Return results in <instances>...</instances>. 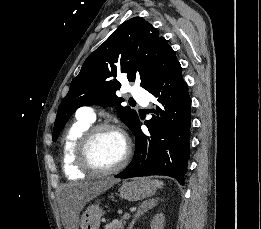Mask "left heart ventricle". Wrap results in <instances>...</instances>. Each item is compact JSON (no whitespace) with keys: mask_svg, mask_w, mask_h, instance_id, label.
Returning a JSON list of instances; mask_svg holds the SVG:
<instances>
[{"mask_svg":"<svg viewBox=\"0 0 261 229\" xmlns=\"http://www.w3.org/2000/svg\"><path fill=\"white\" fill-rule=\"evenodd\" d=\"M125 153V142L121 135L105 131L98 135L93 147L92 158L102 168H111L117 165Z\"/></svg>","mask_w":261,"mask_h":229,"instance_id":"left-heart-ventricle-1","label":"left heart ventricle"}]
</instances>
